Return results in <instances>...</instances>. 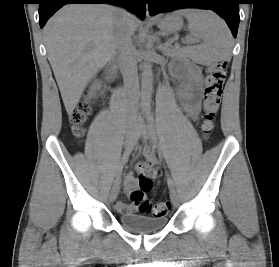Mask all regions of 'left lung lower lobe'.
<instances>
[{
  "label": "left lung lower lobe",
  "instance_id": "obj_1",
  "mask_svg": "<svg viewBox=\"0 0 279 267\" xmlns=\"http://www.w3.org/2000/svg\"><path fill=\"white\" fill-rule=\"evenodd\" d=\"M149 13L155 15L181 8L210 9L224 18L234 37L239 25V0H149Z\"/></svg>",
  "mask_w": 279,
  "mask_h": 267
}]
</instances>
